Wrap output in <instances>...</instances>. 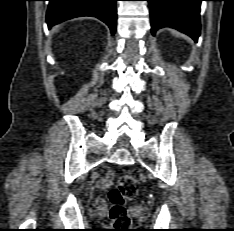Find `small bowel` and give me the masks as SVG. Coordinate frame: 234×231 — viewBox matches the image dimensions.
Masks as SVG:
<instances>
[{"instance_id": "obj_1", "label": "small bowel", "mask_w": 234, "mask_h": 231, "mask_svg": "<svg viewBox=\"0 0 234 231\" xmlns=\"http://www.w3.org/2000/svg\"><path fill=\"white\" fill-rule=\"evenodd\" d=\"M114 177V173L112 171L107 172L106 176L97 181V186L99 189H106L110 186L111 181Z\"/></svg>"}]
</instances>
